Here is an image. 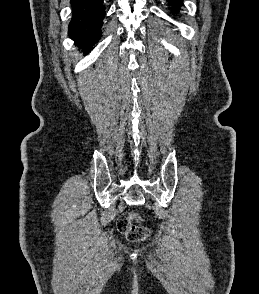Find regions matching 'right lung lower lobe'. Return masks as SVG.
Wrapping results in <instances>:
<instances>
[{"label": "right lung lower lobe", "mask_w": 259, "mask_h": 294, "mask_svg": "<svg viewBox=\"0 0 259 294\" xmlns=\"http://www.w3.org/2000/svg\"><path fill=\"white\" fill-rule=\"evenodd\" d=\"M72 18L69 23V37L86 54L98 42L105 17L103 0H71Z\"/></svg>", "instance_id": "98d812e1"}]
</instances>
